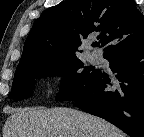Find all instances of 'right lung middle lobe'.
<instances>
[{
	"instance_id": "right-lung-middle-lobe-1",
	"label": "right lung middle lobe",
	"mask_w": 144,
	"mask_h": 137,
	"mask_svg": "<svg viewBox=\"0 0 144 137\" xmlns=\"http://www.w3.org/2000/svg\"><path fill=\"white\" fill-rule=\"evenodd\" d=\"M99 72L88 67L83 69L76 56L32 61L17 67L9 98L15 101L27 98L32 94L36 78L57 75L63 76L57 100L73 101L84 93Z\"/></svg>"
}]
</instances>
